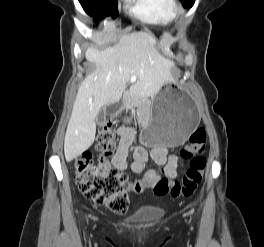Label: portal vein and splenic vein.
I'll list each match as a JSON object with an SVG mask.
<instances>
[{"label":"portal vein and splenic vein","mask_w":264,"mask_h":247,"mask_svg":"<svg viewBox=\"0 0 264 247\" xmlns=\"http://www.w3.org/2000/svg\"><path fill=\"white\" fill-rule=\"evenodd\" d=\"M135 79H136L135 76H133V77L131 78V81L134 82Z\"/></svg>","instance_id":"1"}]
</instances>
